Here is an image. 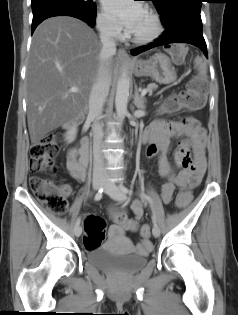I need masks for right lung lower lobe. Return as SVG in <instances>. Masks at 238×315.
I'll list each match as a JSON object with an SVG mask.
<instances>
[{"mask_svg":"<svg viewBox=\"0 0 238 315\" xmlns=\"http://www.w3.org/2000/svg\"><path fill=\"white\" fill-rule=\"evenodd\" d=\"M31 6L32 33L43 20L54 16H72L83 20L91 27L95 24L96 7L86 8L66 0H34Z\"/></svg>","mask_w":238,"mask_h":315,"instance_id":"98d812e1","label":"right lung lower lobe"}]
</instances>
